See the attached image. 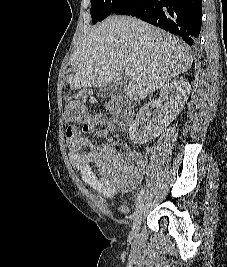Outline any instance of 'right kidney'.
<instances>
[{
  "label": "right kidney",
  "instance_id": "1",
  "mask_svg": "<svg viewBox=\"0 0 227 267\" xmlns=\"http://www.w3.org/2000/svg\"><path fill=\"white\" fill-rule=\"evenodd\" d=\"M190 91V84L183 79L165 84L160 91V99L166 100L162 110L152 120L146 122L145 118L150 116L149 106L152 102L142 107L129 128L131 141L140 145L158 137L180 113L188 100Z\"/></svg>",
  "mask_w": 227,
  "mask_h": 267
}]
</instances>
